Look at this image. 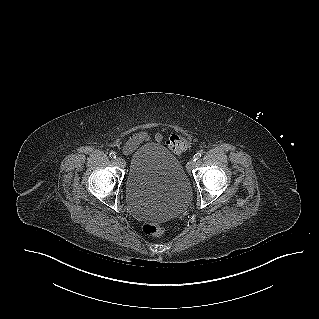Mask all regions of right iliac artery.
I'll list each match as a JSON object with an SVG mask.
<instances>
[{"label":"right iliac artery","mask_w":319,"mask_h":319,"mask_svg":"<svg viewBox=\"0 0 319 319\" xmlns=\"http://www.w3.org/2000/svg\"><path fill=\"white\" fill-rule=\"evenodd\" d=\"M109 156H110L112 159H116V153H115V152H110Z\"/></svg>","instance_id":"obj_1"}]
</instances>
